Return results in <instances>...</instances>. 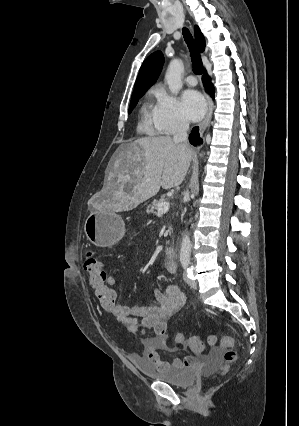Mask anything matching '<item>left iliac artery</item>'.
Masks as SVG:
<instances>
[{
  "label": "left iliac artery",
  "mask_w": 299,
  "mask_h": 426,
  "mask_svg": "<svg viewBox=\"0 0 299 426\" xmlns=\"http://www.w3.org/2000/svg\"><path fill=\"white\" fill-rule=\"evenodd\" d=\"M188 265H189V262H187V261H183L182 262V266H183V268L184 269H187L188 268ZM188 270V269H187Z\"/></svg>",
  "instance_id": "1"
}]
</instances>
